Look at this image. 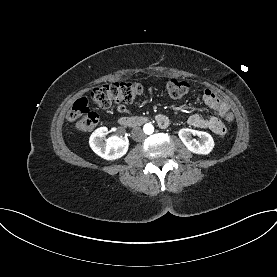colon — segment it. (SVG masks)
I'll list each match as a JSON object with an SVG mask.
<instances>
[{
	"label": "colon",
	"mask_w": 277,
	"mask_h": 277,
	"mask_svg": "<svg viewBox=\"0 0 277 277\" xmlns=\"http://www.w3.org/2000/svg\"><path fill=\"white\" fill-rule=\"evenodd\" d=\"M168 96L173 100L185 97L190 91L187 81L170 79L166 83ZM144 92V86L139 82H117L96 87L89 92L88 98L82 97L76 100L68 111L67 118L75 122L80 131H89L98 123V115L90 111L88 100L102 108H108L117 103H130L136 100ZM224 121L232 123L235 120L233 112H227L223 116Z\"/></svg>",
	"instance_id": "obj_1"
}]
</instances>
